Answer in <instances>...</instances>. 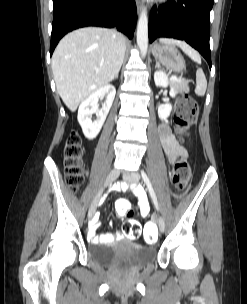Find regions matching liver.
I'll list each match as a JSON object with an SVG mask.
<instances>
[{"label": "liver", "instance_id": "1", "mask_svg": "<svg viewBox=\"0 0 247 304\" xmlns=\"http://www.w3.org/2000/svg\"><path fill=\"white\" fill-rule=\"evenodd\" d=\"M161 42L195 52L182 41ZM123 51L124 40L113 29L85 27L60 40L52 56V71L57 92L70 111L115 78L123 63Z\"/></svg>", "mask_w": 247, "mask_h": 304}]
</instances>
